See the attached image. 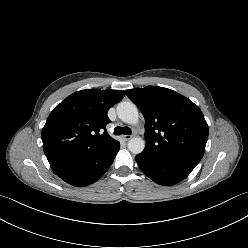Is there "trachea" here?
Segmentation results:
<instances>
[{
  "mask_svg": "<svg viewBox=\"0 0 248 248\" xmlns=\"http://www.w3.org/2000/svg\"><path fill=\"white\" fill-rule=\"evenodd\" d=\"M114 134L115 135H121V134H124V135H130L131 134V129L128 128V127H116L114 129Z\"/></svg>",
  "mask_w": 248,
  "mask_h": 248,
  "instance_id": "3493384b",
  "label": "trachea"
}]
</instances>
